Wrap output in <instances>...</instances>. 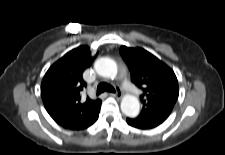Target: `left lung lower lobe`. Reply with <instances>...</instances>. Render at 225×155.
<instances>
[{"label": "left lung lower lobe", "mask_w": 225, "mask_h": 155, "mask_svg": "<svg viewBox=\"0 0 225 155\" xmlns=\"http://www.w3.org/2000/svg\"><path fill=\"white\" fill-rule=\"evenodd\" d=\"M126 121L130 126L138 128V129H152L158 126V125H150V124H138V122H136L135 119H130V118H127Z\"/></svg>", "instance_id": "obj_1"}]
</instances>
